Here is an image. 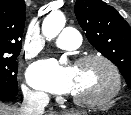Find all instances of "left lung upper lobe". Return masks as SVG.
Wrapping results in <instances>:
<instances>
[{
	"label": "left lung upper lobe",
	"instance_id": "obj_1",
	"mask_svg": "<svg viewBox=\"0 0 131 115\" xmlns=\"http://www.w3.org/2000/svg\"><path fill=\"white\" fill-rule=\"evenodd\" d=\"M75 15L91 45L119 68L131 88V28L128 23L102 0H77Z\"/></svg>",
	"mask_w": 131,
	"mask_h": 115
}]
</instances>
